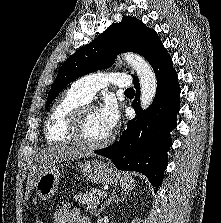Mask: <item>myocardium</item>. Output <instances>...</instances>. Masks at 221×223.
Segmentation results:
<instances>
[{
    "instance_id": "obj_1",
    "label": "myocardium",
    "mask_w": 221,
    "mask_h": 223,
    "mask_svg": "<svg viewBox=\"0 0 221 223\" xmlns=\"http://www.w3.org/2000/svg\"><path fill=\"white\" fill-rule=\"evenodd\" d=\"M90 110H95V107L89 104H83L77 107L70 115L66 131L71 140L79 147L87 150H96L108 146L113 140V135L110 134L99 142L92 143L84 140L82 135L83 121L86 113Z\"/></svg>"
}]
</instances>
